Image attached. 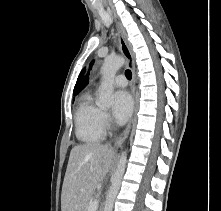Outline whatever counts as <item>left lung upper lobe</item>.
<instances>
[{
	"label": "left lung upper lobe",
	"mask_w": 221,
	"mask_h": 211,
	"mask_svg": "<svg viewBox=\"0 0 221 211\" xmlns=\"http://www.w3.org/2000/svg\"><path fill=\"white\" fill-rule=\"evenodd\" d=\"M92 64H93V61H92L91 64H90V68H91ZM88 79H89V77H88V75H87L86 78H85V80H84V82H83L82 88H84L85 85L88 83Z\"/></svg>",
	"instance_id": "obj_1"
}]
</instances>
